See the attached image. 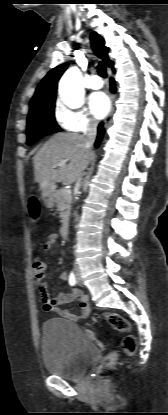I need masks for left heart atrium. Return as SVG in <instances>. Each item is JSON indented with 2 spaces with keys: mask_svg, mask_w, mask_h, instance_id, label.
I'll use <instances>...</instances> for the list:
<instances>
[{
  "mask_svg": "<svg viewBox=\"0 0 168 415\" xmlns=\"http://www.w3.org/2000/svg\"><path fill=\"white\" fill-rule=\"evenodd\" d=\"M90 110L95 118H104L110 110V101L106 94L97 92L91 95L89 100Z\"/></svg>",
  "mask_w": 168,
  "mask_h": 415,
  "instance_id": "left-heart-atrium-1",
  "label": "left heart atrium"
}]
</instances>
